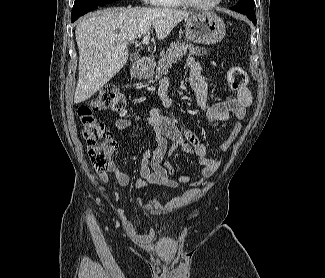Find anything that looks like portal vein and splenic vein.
<instances>
[{"label": "portal vein and splenic vein", "mask_w": 325, "mask_h": 278, "mask_svg": "<svg viewBox=\"0 0 325 278\" xmlns=\"http://www.w3.org/2000/svg\"><path fill=\"white\" fill-rule=\"evenodd\" d=\"M141 43H142L143 45H148V44H149V37H148V35H145V36L143 37ZM120 47H121V48H126L125 45H121Z\"/></svg>", "instance_id": "portal-vein-and-splenic-vein-1"}]
</instances>
